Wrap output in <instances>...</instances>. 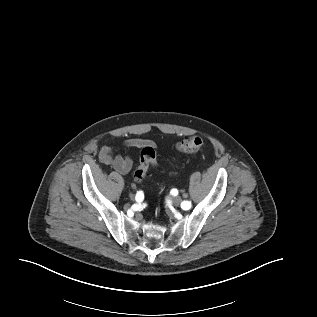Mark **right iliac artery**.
<instances>
[{"instance_id":"obj_1","label":"right iliac artery","mask_w":317,"mask_h":317,"mask_svg":"<svg viewBox=\"0 0 317 317\" xmlns=\"http://www.w3.org/2000/svg\"><path fill=\"white\" fill-rule=\"evenodd\" d=\"M135 199H136L137 202H142L143 199H144V194H143V192H142V191H138V192L136 193Z\"/></svg>"}]
</instances>
